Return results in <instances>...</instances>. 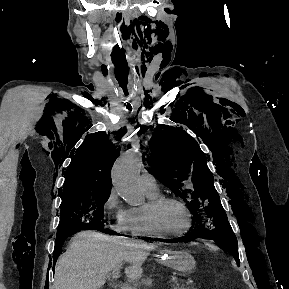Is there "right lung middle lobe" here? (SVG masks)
Segmentation results:
<instances>
[{"mask_svg":"<svg viewBox=\"0 0 289 289\" xmlns=\"http://www.w3.org/2000/svg\"><path fill=\"white\" fill-rule=\"evenodd\" d=\"M109 191L93 194H79L64 197L57 237H66L80 230L103 229V205L108 200Z\"/></svg>","mask_w":289,"mask_h":289,"instance_id":"1","label":"right lung middle lobe"}]
</instances>
